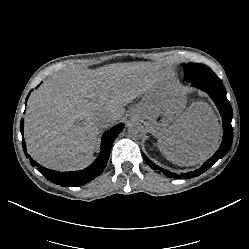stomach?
<instances>
[{"label": "stomach", "instance_id": "obj_1", "mask_svg": "<svg viewBox=\"0 0 249 249\" xmlns=\"http://www.w3.org/2000/svg\"><path fill=\"white\" fill-rule=\"evenodd\" d=\"M186 104L178 75L170 70L160 72L150 92L139 104L144 124L154 130L171 126Z\"/></svg>", "mask_w": 249, "mask_h": 249}]
</instances>
